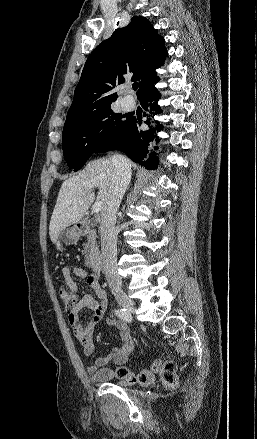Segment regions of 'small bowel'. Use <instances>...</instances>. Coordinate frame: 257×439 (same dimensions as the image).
<instances>
[{
  "mask_svg": "<svg viewBox=\"0 0 257 439\" xmlns=\"http://www.w3.org/2000/svg\"><path fill=\"white\" fill-rule=\"evenodd\" d=\"M61 273L67 287L71 291H77L76 283L72 277V274H74L85 278L86 284L93 292L92 294H85L74 308L68 312V322L82 347L83 354L85 356H91L94 352V329L102 320L107 309L106 292L100 286L99 277L97 275L87 274L80 268L71 269L69 266H64ZM84 309L92 311L86 325H83L79 318V313ZM107 324L119 330L120 345L114 347L106 356L95 358L86 366L88 375L95 382H107L113 379L116 376L117 369L127 362L134 348L131 332L124 322L109 318L107 319ZM109 363H114L119 367L116 370L109 368L107 367Z\"/></svg>",
  "mask_w": 257,
  "mask_h": 439,
  "instance_id": "obj_1",
  "label": "small bowel"
}]
</instances>
